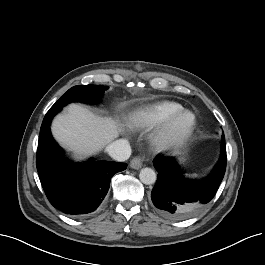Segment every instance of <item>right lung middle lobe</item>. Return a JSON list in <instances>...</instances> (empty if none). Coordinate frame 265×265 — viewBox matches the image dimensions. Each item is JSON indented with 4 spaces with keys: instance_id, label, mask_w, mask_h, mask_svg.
<instances>
[{
    "instance_id": "dd1d6c3e",
    "label": "right lung middle lobe",
    "mask_w": 265,
    "mask_h": 265,
    "mask_svg": "<svg viewBox=\"0 0 265 265\" xmlns=\"http://www.w3.org/2000/svg\"><path fill=\"white\" fill-rule=\"evenodd\" d=\"M106 86L77 85L70 88L51 108H62L70 102L97 103L100 101Z\"/></svg>"
}]
</instances>
